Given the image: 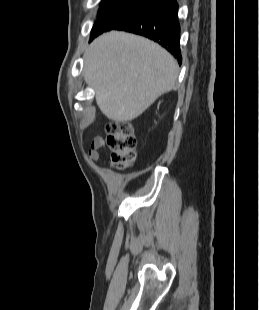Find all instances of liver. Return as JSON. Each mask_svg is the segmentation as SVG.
Returning a JSON list of instances; mask_svg holds the SVG:
<instances>
[{"label": "liver", "mask_w": 259, "mask_h": 310, "mask_svg": "<svg viewBox=\"0 0 259 310\" xmlns=\"http://www.w3.org/2000/svg\"><path fill=\"white\" fill-rule=\"evenodd\" d=\"M84 80L102 113L115 122L140 116L177 83L179 66L164 48L144 37L111 31L84 54Z\"/></svg>", "instance_id": "1"}]
</instances>
